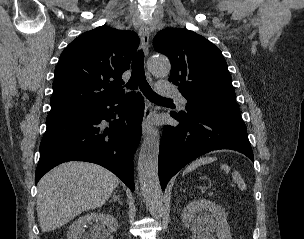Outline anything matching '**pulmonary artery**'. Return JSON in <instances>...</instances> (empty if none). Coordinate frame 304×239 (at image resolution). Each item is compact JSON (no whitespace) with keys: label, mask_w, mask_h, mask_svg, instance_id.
Returning a JSON list of instances; mask_svg holds the SVG:
<instances>
[{"label":"pulmonary artery","mask_w":304,"mask_h":239,"mask_svg":"<svg viewBox=\"0 0 304 239\" xmlns=\"http://www.w3.org/2000/svg\"><path fill=\"white\" fill-rule=\"evenodd\" d=\"M157 91L162 96L177 98L183 106L187 103L186 98L168 82H159L157 85Z\"/></svg>","instance_id":"obj_1"}]
</instances>
